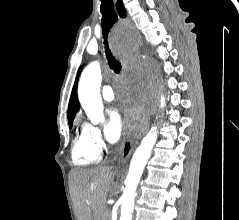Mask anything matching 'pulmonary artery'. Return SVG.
I'll return each instance as SVG.
<instances>
[{
  "instance_id": "pulmonary-artery-1",
  "label": "pulmonary artery",
  "mask_w": 239,
  "mask_h": 220,
  "mask_svg": "<svg viewBox=\"0 0 239 220\" xmlns=\"http://www.w3.org/2000/svg\"><path fill=\"white\" fill-rule=\"evenodd\" d=\"M102 96L106 101H112L115 98V94L110 85H105L102 89Z\"/></svg>"
}]
</instances>
